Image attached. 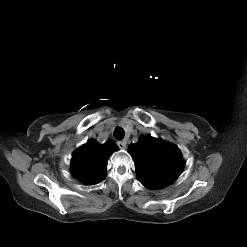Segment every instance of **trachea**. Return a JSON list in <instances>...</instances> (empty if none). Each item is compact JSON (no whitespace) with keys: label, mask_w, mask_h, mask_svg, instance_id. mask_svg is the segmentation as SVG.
Segmentation results:
<instances>
[{"label":"trachea","mask_w":247,"mask_h":247,"mask_svg":"<svg viewBox=\"0 0 247 247\" xmlns=\"http://www.w3.org/2000/svg\"><path fill=\"white\" fill-rule=\"evenodd\" d=\"M114 138L117 139V140H122L125 136V131L123 128L121 127H116L115 130H114Z\"/></svg>","instance_id":"obj_1"}]
</instances>
